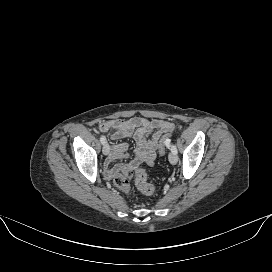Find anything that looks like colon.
I'll return each mask as SVG.
<instances>
[{
  "label": "colon",
  "mask_w": 272,
  "mask_h": 272,
  "mask_svg": "<svg viewBox=\"0 0 272 272\" xmlns=\"http://www.w3.org/2000/svg\"><path fill=\"white\" fill-rule=\"evenodd\" d=\"M171 133L165 134L159 145L158 153L163 155L168 147ZM134 180L136 187L144 194L150 195L154 192V186L148 182L147 174L139 165H130L120 170L114 177V185L126 194L131 193V181Z\"/></svg>",
  "instance_id": "colon-1"
}]
</instances>
